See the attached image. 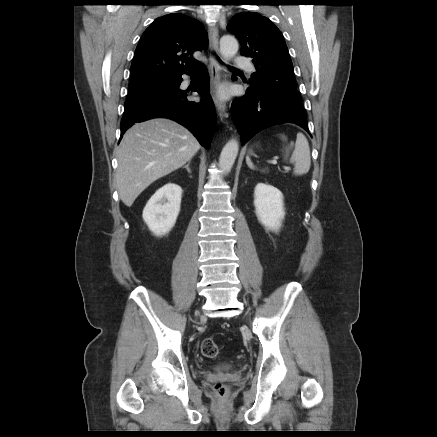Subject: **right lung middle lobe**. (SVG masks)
<instances>
[{
  "mask_svg": "<svg viewBox=\"0 0 437 437\" xmlns=\"http://www.w3.org/2000/svg\"><path fill=\"white\" fill-rule=\"evenodd\" d=\"M174 79L175 78H149L131 80L129 87V98L166 89L171 86Z\"/></svg>",
  "mask_w": 437,
  "mask_h": 437,
  "instance_id": "dd1d6c3e",
  "label": "right lung middle lobe"
}]
</instances>
